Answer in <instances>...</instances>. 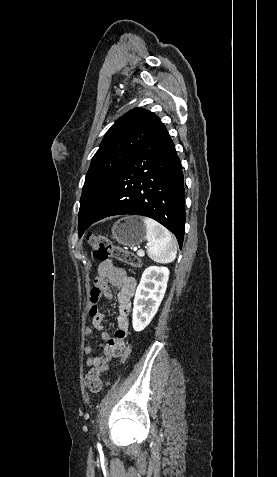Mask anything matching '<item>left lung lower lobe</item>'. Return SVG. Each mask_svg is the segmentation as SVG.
I'll list each match as a JSON object with an SVG mask.
<instances>
[{"instance_id": "left-lung-lower-lobe-1", "label": "left lung lower lobe", "mask_w": 277, "mask_h": 477, "mask_svg": "<svg viewBox=\"0 0 277 477\" xmlns=\"http://www.w3.org/2000/svg\"><path fill=\"white\" fill-rule=\"evenodd\" d=\"M150 217L184 239L185 191L179 157L166 130L141 147L120 169L96 212L79 236L94 222L113 215Z\"/></svg>"}]
</instances>
